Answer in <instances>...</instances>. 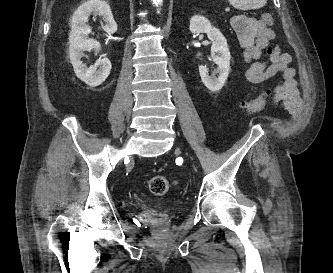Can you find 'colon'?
Returning <instances> with one entry per match:
<instances>
[{
    "instance_id": "1",
    "label": "colon",
    "mask_w": 333,
    "mask_h": 273,
    "mask_svg": "<svg viewBox=\"0 0 333 273\" xmlns=\"http://www.w3.org/2000/svg\"><path fill=\"white\" fill-rule=\"evenodd\" d=\"M262 20L265 24L271 26L273 24V17L270 13H265L262 16ZM274 49L269 46L267 48V53L271 55L273 53ZM270 91L266 90L260 93L257 97L250 99L243 104V108L248 113H256L260 110H262L266 103H267V97L269 95ZM148 187L152 194L156 196H162L165 195L169 188H170V182L169 180L162 176V175H156L149 179L148 181Z\"/></svg>"
}]
</instances>
